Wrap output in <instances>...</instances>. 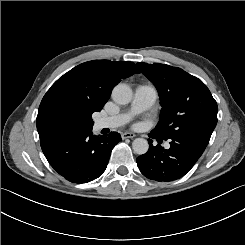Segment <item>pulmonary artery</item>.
Masks as SVG:
<instances>
[{
	"mask_svg": "<svg viewBox=\"0 0 245 245\" xmlns=\"http://www.w3.org/2000/svg\"><path fill=\"white\" fill-rule=\"evenodd\" d=\"M135 97L131 102L128 112L100 117L95 120L94 129L114 128L127 123L134 115L148 110L157 99V90L151 84H139L136 86ZM163 148H169V143H163Z\"/></svg>",
	"mask_w": 245,
	"mask_h": 245,
	"instance_id": "1",
	"label": "pulmonary artery"
}]
</instances>
